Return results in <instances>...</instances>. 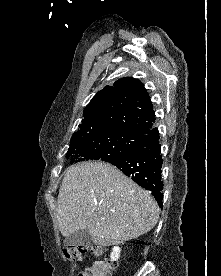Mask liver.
Listing matches in <instances>:
<instances>
[{
	"instance_id": "liver-1",
	"label": "liver",
	"mask_w": 221,
	"mask_h": 276,
	"mask_svg": "<svg viewBox=\"0 0 221 276\" xmlns=\"http://www.w3.org/2000/svg\"><path fill=\"white\" fill-rule=\"evenodd\" d=\"M56 211L64 237L87 229L98 246L135 239L159 219V207L150 193L102 162H82L66 169Z\"/></svg>"
}]
</instances>
